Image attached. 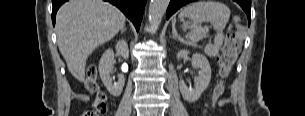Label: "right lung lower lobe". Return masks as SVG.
Segmentation results:
<instances>
[{
    "label": "right lung lower lobe",
    "mask_w": 305,
    "mask_h": 116,
    "mask_svg": "<svg viewBox=\"0 0 305 116\" xmlns=\"http://www.w3.org/2000/svg\"><path fill=\"white\" fill-rule=\"evenodd\" d=\"M67 0H52V22L55 24V16L59 7ZM117 6L134 24L139 31L141 20L143 17L144 6L147 0H105Z\"/></svg>",
    "instance_id": "right-lung-lower-lobe-1"
}]
</instances>
